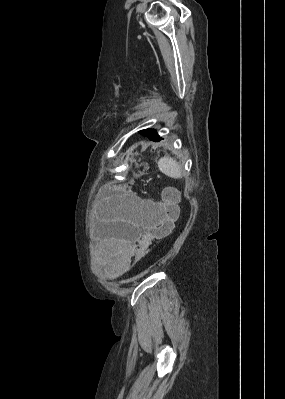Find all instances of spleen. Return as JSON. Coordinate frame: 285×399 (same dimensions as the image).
<instances>
[{"instance_id":"obj_1","label":"spleen","mask_w":285,"mask_h":399,"mask_svg":"<svg viewBox=\"0 0 285 399\" xmlns=\"http://www.w3.org/2000/svg\"><path fill=\"white\" fill-rule=\"evenodd\" d=\"M158 167L162 173L171 178H180L182 168L179 163L170 156H164L158 161Z\"/></svg>"}]
</instances>
